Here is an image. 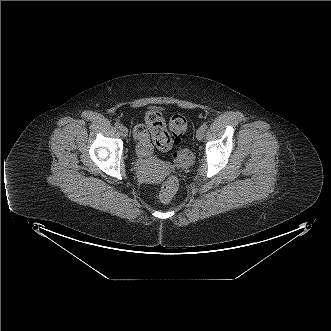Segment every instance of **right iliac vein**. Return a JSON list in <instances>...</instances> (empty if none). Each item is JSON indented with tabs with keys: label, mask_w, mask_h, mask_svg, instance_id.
<instances>
[{
	"label": "right iliac vein",
	"mask_w": 331,
	"mask_h": 331,
	"mask_svg": "<svg viewBox=\"0 0 331 331\" xmlns=\"http://www.w3.org/2000/svg\"><path fill=\"white\" fill-rule=\"evenodd\" d=\"M119 131L122 137L126 138L128 136V129L125 126L121 125Z\"/></svg>",
	"instance_id": "63e3f726"
}]
</instances>
